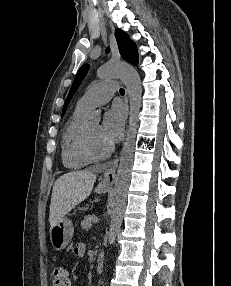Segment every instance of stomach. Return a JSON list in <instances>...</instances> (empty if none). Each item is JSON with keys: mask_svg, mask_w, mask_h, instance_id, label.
Here are the masks:
<instances>
[{"mask_svg": "<svg viewBox=\"0 0 231 286\" xmlns=\"http://www.w3.org/2000/svg\"><path fill=\"white\" fill-rule=\"evenodd\" d=\"M110 190L109 186L99 184L96 188L97 193H106ZM73 224L70 219L64 217L57 224L50 227L49 236L51 245L56 250H63L70 243L73 236Z\"/></svg>", "mask_w": 231, "mask_h": 286, "instance_id": "0dacf381", "label": "stomach"}]
</instances>
